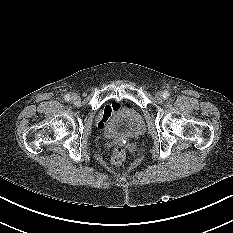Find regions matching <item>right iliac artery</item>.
Returning a JSON list of instances; mask_svg holds the SVG:
<instances>
[{"mask_svg": "<svg viewBox=\"0 0 233 233\" xmlns=\"http://www.w3.org/2000/svg\"><path fill=\"white\" fill-rule=\"evenodd\" d=\"M64 99H65L66 101H69V100L71 99V97H70L69 94H66V95L64 96Z\"/></svg>", "mask_w": 233, "mask_h": 233, "instance_id": "right-iliac-artery-1", "label": "right iliac artery"}]
</instances>
